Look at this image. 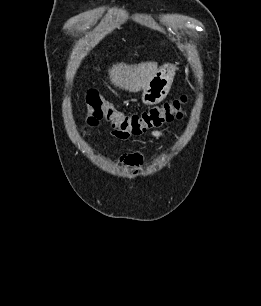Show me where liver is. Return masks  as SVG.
<instances>
[{
    "instance_id": "1",
    "label": "liver",
    "mask_w": 261,
    "mask_h": 306,
    "mask_svg": "<svg viewBox=\"0 0 261 306\" xmlns=\"http://www.w3.org/2000/svg\"><path fill=\"white\" fill-rule=\"evenodd\" d=\"M157 71L156 62H142L138 65L117 63L108 70L111 83L129 92L144 90Z\"/></svg>"
}]
</instances>
